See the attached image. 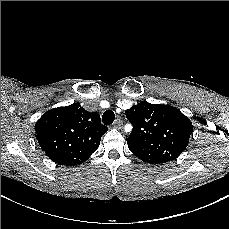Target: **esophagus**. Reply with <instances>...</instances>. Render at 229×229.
Wrapping results in <instances>:
<instances>
[{
    "instance_id": "obj_1",
    "label": "esophagus",
    "mask_w": 229,
    "mask_h": 229,
    "mask_svg": "<svg viewBox=\"0 0 229 229\" xmlns=\"http://www.w3.org/2000/svg\"><path fill=\"white\" fill-rule=\"evenodd\" d=\"M114 128L122 129L123 128V121L120 118H117L114 122Z\"/></svg>"
}]
</instances>
